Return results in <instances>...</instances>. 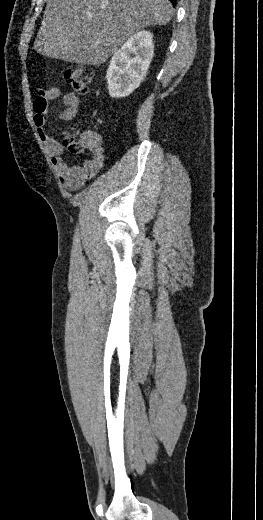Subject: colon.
<instances>
[{
  "label": "colon",
  "instance_id": "1",
  "mask_svg": "<svg viewBox=\"0 0 263 520\" xmlns=\"http://www.w3.org/2000/svg\"><path fill=\"white\" fill-rule=\"evenodd\" d=\"M64 79L75 92L86 94L93 80V72L86 66L66 68L64 70ZM63 145L72 153H81L86 148L90 149L84 139H77L71 135L64 136Z\"/></svg>",
  "mask_w": 263,
  "mask_h": 520
}]
</instances>
